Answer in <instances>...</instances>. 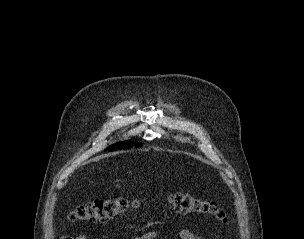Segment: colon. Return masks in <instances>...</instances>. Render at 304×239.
<instances>
[{
	"label": "colon",
	"instance_id": "5ec220e1",
	"mask_svg": "<svg viewBox=\"0 0 304 239\" xmlns=\"http://www.w3.org/2000/svg\"><path fill=\"white\" fill-rule=\"evenodd\" d=\"M172 209L180 214H210L222 223H227V216L216 203L203 200L185 193H174L169 196ZM135 205L127 198H105L76 207L69 215L71 222L96 223L120 216Z\"/></svg>",
	"mask_w": 304,
	"mask_h": 239
}]
</instances>
